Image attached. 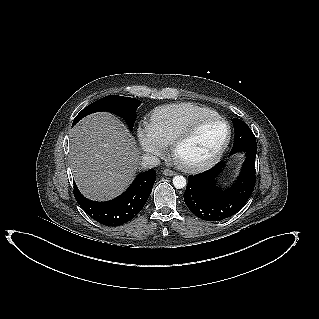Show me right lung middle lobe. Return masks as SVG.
Listing matches in <instances>:
<instances>
[{
  "label": "right lung middle lobe",
  "mask_w": 319,
  "mask_h": 319,
  "mask_svg": "<svg viewBox=\"0 0 319 319\" xmlns=\"http://www.w3.org/2000/svg\"><path fill=\"white\" fill-rule=\"evenodd\" d=\"M140 104V100L130 97H123L118 95L106 96L85 107L76 116L72 126L88 114L99 111H109L125 119L130 129H132L136 118V109Z\"/></svg>",
  "instance_id": "obj_1"
}]
</instances>
